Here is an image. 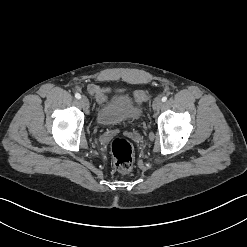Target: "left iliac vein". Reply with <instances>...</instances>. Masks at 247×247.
I'll return each instance as SVG.
<instances>
[{
	"mask_svg": "<svg viewBox=\"0 0 247 247\" xmlns=\"http://www.w3.org/2000/svg\"><path fill=\"white\" fill-rule=\"evenodd\" d=\"M162 105H163L162 100L160 98H156L152 106L154 110H159L162 107Z\"/></svg>",
	"mask_w": 247,
	"mask_h": 247,
	"instance_id": "left-iliac-vein-1",
	"label": "left iliac vein"
}]
</instances>
